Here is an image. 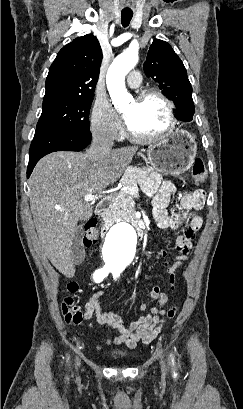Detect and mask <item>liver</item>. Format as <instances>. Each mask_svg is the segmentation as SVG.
Wrapping results in <instances>:
<instances>
[{
    "label": "liver",
    "instance_id": "liver-1",
    "mask_svg": "<svg viewBox=\"0 0 243 409\" xmlns=\"http://www.w3.org/2000/svg\"><path fill=\"white\" fill-rule=\"evenodd\" d=\"M136 146L111 150L98 159L87 153L58 151L43 157L30 179V208L40 245L53 266L71 278V245L79 220L92 216L84 196L113 185L131 163Z\"/></svg>",
    "mask_w": 243,
    "mask_h": 409
}]
</instances>
